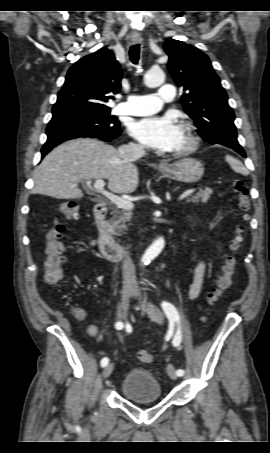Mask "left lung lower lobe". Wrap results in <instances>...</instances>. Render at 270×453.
Listing matches in <instances>:
<instances>
[{
	"label": "left lung lower lobe",
	"mask_w": 270,
	"mask_h": 453,
	"mask_svg": "<svg viewBox=\"0 0 270 453\" xmlns=\"http://www.w3.org/2000/svg\"><path fill=\"white\" fill-rule=\"evenodd\" d=\"M229 147L232 148L233 150H235L236 152H238L243 157H246L245 152H244V150L242 149V147L240 145H232V146H229Z\"/></svg>",
	"instance_id": "0a47b994"
}]
</instances>
